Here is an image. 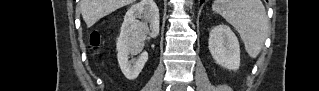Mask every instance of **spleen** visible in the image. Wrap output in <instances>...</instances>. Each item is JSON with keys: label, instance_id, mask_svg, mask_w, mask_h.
I'll return each instance as SVG.
<instances>
[{"label": "spleen", "instance_id": "1", "mask_svg": "<svg viewBox=\"0 0 319 91\" xmlns=\"http://www.w3.org/2000/svg\"><path fill=\"white\" fill-rule=\"evenodd\" d=\"M212 9L240 34L251 58H256L268 34V18L260 0H215Z\"/></svg>", "mask_w": 319, "mask_h": 91}]
</instances>
